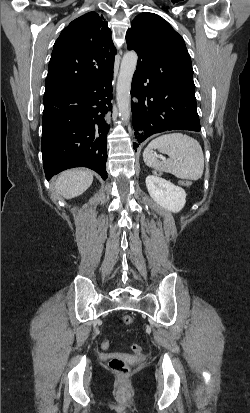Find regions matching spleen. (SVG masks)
I'll use <instances>...</instances> for the list:
<instances>
[{
    "instance_id": "obj_1",
    "label": "spleen",
    "mask_w": 250,
    "mask_h": 413,
    "mask_svg": "<svg viewBox=\"0 0 250 413\" xmlns=\"http://www.w3.org/2000/svg\"><path fill=\"white\" fill-rule=\"evenodd\" d=\"M155 149L167 154L169 159L158 160ZM143 160L147 166L181 179L198 180L204 172V155L199 142L182 133L165 134L152 140L143 152Z\"/></svg>"
}]
</instances>
